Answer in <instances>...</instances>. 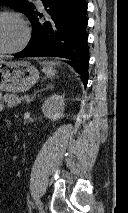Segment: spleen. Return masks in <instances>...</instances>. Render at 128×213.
I'll use <instances>...</instances> for the list:
<instances>
[{"mask_svg": "<svg viewBox=\"0 0 128 213\" xmlns=\"http://www.w3.org/2000/svg\"><path fill=\"white\" fill-rule=\"evenodd\" d=\"M53 63H50L48 67H43L42 71L50 78L55 76L56 70L52 67Z\"/></svg>", "mask_w": 128, "mask_h": 213, "instance_id": "1", "label": "spleen"}]
</instances>
